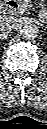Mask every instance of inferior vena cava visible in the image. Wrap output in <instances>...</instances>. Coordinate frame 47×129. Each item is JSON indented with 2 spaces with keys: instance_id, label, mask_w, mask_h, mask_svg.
<instances>
[{
  "instance_id": "602c4592",
  "label": "inferior vena cava",
  "mask_w": 47,
  "mask_h": 129,
  "mask_svg": "<svg viewBox=\"0 0 47 129\" xmlns=\"http://www.w3.org/2000/svg\"><path fill=\"white\" fill-rule=\"evenodd\" d=\"M18 19L12 16H4L1 18L0 27L3 31L11 30L17 24Z\"/></svg>"
}]
</instances>
